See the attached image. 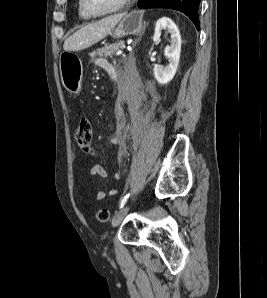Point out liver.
I'll list each match as a JSON object with an SVG mask.
<instances>
[{
    "mask_svg": "<svg viewBox=\"0 0 267 298\" xmlns=\"http://www.w3.org/2000/svg\"><path fill=\"white\" fill-rule=\"evenodd\" d=\"M123 16V13L110 15L83 26L65 40L64 51H79L92 46L106 37Z\"/></svg>",
    "mask_w": 267,
    "mask_h": 298,
    "instance_id": "6515ba94",
    "label": "liver"
}]
</instances>
